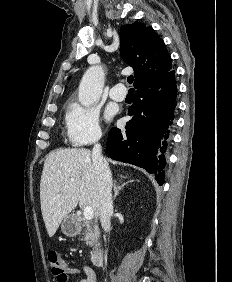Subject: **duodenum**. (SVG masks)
I'll use <instances>...</instances> for the list:
<instances>
[{"mask_svg": "<svg viewBox=\"0 0 232 282\" xmlns=\"http://www.w3.org/2000/svg\"><path fill=\"white\" fill-rule=\"evenodd\" d=\"M91 261L95 266H102L104 262L103 249L99 246L93 248L91 252Z\"/></svg>", "mask_w": 232, "mask_h": 282, "instance_id": "duodenum-1", "label": "duodenum"}]
</instances>
